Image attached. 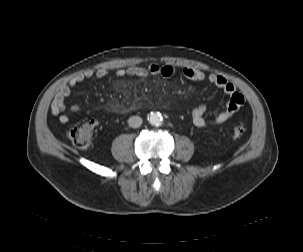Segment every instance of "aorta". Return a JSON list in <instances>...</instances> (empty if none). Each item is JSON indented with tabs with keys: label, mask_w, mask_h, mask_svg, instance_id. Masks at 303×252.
Returning <instances> with one entry per match:
<instances>
[{
	"label": "aorta",
	"mask_w": 303,
	"mask_h": 252,
	"mask_svg": "<svg viewBox=\"0 0 303 252\" xmlns=\"http://www.w3.org/2000/svg\"><path fill=\"white\" fill-rule=\"evenodd\" d=\"M148 121L153 126H160L162 124L163 118L158 112H151L148 115Z\"/></svg>",
	"instance_id": "762f6f07"
}]
</instances>
